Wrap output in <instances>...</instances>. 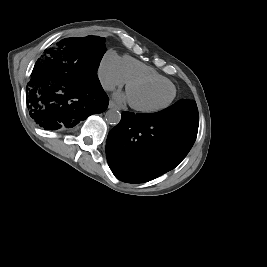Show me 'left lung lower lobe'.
Listing matches in <instances>:
<instances>
[{
  "label": "left lung lower lobe",
  "mask_w": 267,
  "mask_h": 267,
  "mask_svg": "<svg viewBox=\"0 0 267 267\" xmlns=\"http://www.w3.org/2000/svg\"><path fill=\"white\" fill-rule=\"evenodd\" d=\"M199 116L186 112H123L108 134L106 155L121 181L142 183L175 168L193 146Z\"/></svg>",
  "instance_id": "left-lung-lower-lobe-1"
}]
</instances>
